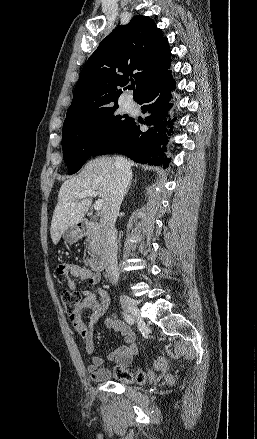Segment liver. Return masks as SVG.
Listing matches in <instances>:
<instances>
[{
    "instance_id": "obj_1",
    "label": "liver",
    "mask_w": 257,
    "mask_h": 439,
    "mask_svg": "<svg viewBox=\"0 0 257 439\" xmlns=\"http://www.w3.org/2000/svg\"><path fill=\"white\" fill-rule=\"evenodd\" d=\"M132 166V162H128ZM116 174L114 157H98L89 161L79 175L66 180L59 191L53 212L50 234L57 244L63 233L80 222L91 206V197L78 199V194L95 190L105 205Z\"/></svg>"
}]
</instances>
